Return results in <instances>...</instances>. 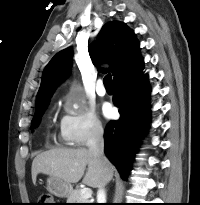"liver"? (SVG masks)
I'll use <instances>...</instances> for the list:
<instances>
[{"instance_id": "obj_1", "label": "liver", "mask_w": 200, "mask_h": 205, "mask_svg": "<svg viewBox=\"0 0 200 205\" xmlns=\"http://www.w3.org/2000/svg\"><path fill=\"white\" fill-rule=\"evenodd\" d=\"M31 172L34 183L39 173L58 177L69 184L79 182L84 176L83 184L99 188L112 179L113 166L105 157L97 158L86 148H58L38 154L32 162Z\"/></svg>"}]
</instances>
